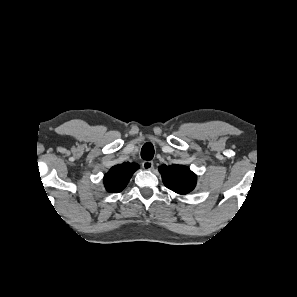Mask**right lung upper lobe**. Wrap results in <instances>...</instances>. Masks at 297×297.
Segmentation results:
<instances>
[{
	"mask_svg": "<svg viewBox=\"0 0 297 297\" xmlns=\"http://www.w3.org/2000/svg\"><path fill=\"white\" fill-rule=\"evenodd\" d=\"M139 168L137 164L124 163L113 166L104 175V185L108 192H120L128 184L134 172Z\"/></svg>",
	"mask_w": 297,
	"mask_h": 297,
	"instance_id": "cb5924a9",
	"label": "right lung upper lobe"
}]
</instances>
